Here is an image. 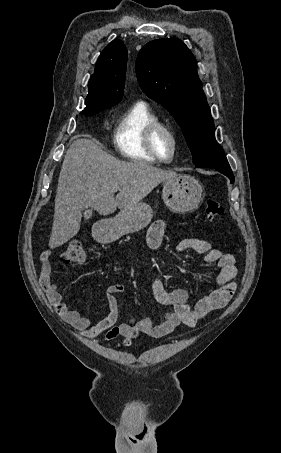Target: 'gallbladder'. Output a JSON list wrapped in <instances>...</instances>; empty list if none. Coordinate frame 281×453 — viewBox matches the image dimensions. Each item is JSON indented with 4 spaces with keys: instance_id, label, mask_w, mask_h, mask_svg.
<instances>
[{
    "instance_id": "gallbladder-1",
    "label": "gallbladder",
    "mask_w": 281,
    "mask_h": 453,
    "mask_svg": "<svg viewBox=\"0 0 281 453\" xmlns=\"http://www.w3.org/2000/svg\"><path fill=\"white\" fill-rule=\"evenodd\" d=\"M91 214H92V210H85L84 218H90Z\"/></svg>"
}]
</instances>
